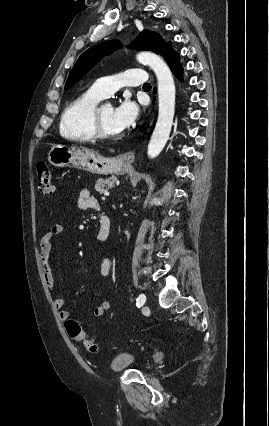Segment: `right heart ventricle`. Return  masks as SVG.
<instances>
[{
  "label": "right heart ventricle",
  "mask_w": 269,
  "mask_h": 426,
  "mask_svg": "<svg viewBox=\"0 0 269 426\" xmlns=\"http://www.w3.org/2000/svg\"><path fill=\"white\" fill-rule=\"evenodd\" d=\"M101 99L102 97L89 89L70 102L60 119L61 135L78 142H89L95 139L91 118Z\"/></svg>",
  "instance_id": "right-heart-ventricle-1"
}]
</instances>
